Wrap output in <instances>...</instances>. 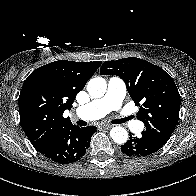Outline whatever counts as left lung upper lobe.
<instances>
[{"label":"left lung upper lobe","instance_id":"5c2ea615","mask_svg":"<svg viewBox=\"0 0 196 196\" xmlns=\"http://www.w3.org/2000/svg\"><path fill=\"white\" fill-rule=\"evenodd\" d=\"M102 75L122 78L137 106V118L146 126L144 133L165 144L179 119L180 95L167 72L140 58H124L105 61Z\"/></svg>","mask_w":196,"mask_h":196}]
</instances>
